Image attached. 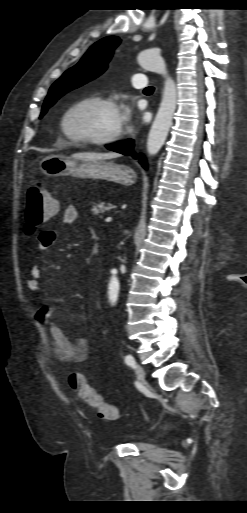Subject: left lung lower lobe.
I'll return each instance as SVG.
<instances>
[{
    "instance_id": "left-lung-lower-lobe-1",
    "label": "left lung lower lobe",
    "mask_w": 247,
    "mask_h": 513,
    "mask_svg": "<svg viewBox=\"0 0 247 513\" xmlns=\"http://www.w3.org/2000/svg\"><path fill=\"white\" fill-rule=\"evenodd\" d=\"M134 140L128 139L123 142H119L116 144L106 145V148L124 155L133 156L136 158V154L134 152ZM141 164L146 167L145 161L141 159Z\"/></svg>"
}]
</instances>
